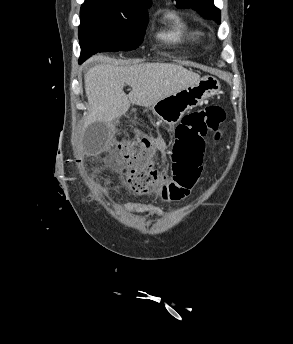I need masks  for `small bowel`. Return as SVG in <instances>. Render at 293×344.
I'll return each instance as SVG.
<instances>
[{
	"instance_id": "c3829d8e",
	"label": "small bowel",
	"mask_w": 293,
	"mask_h": 344,
	"mask_svg": "<svg viewBox=\"0 0 293 344\" xmlns=\"http://www.w3.org/2000/svg\"><path fill=\"white\" fill-rule=\"evenodd\" d=\"M139 136H142L139 134ZM154 142L155 149L164 154L166 151V144L163 141L162 138L156 137V138H151ZM156 166H152V173L154 172ZM202 173V167L198 170V178L201 176ZM126 210L130 212H137V213H144V214H155V210L153 207L147 203H128L126 205Z\"/></svg>"
}]
</instances>
